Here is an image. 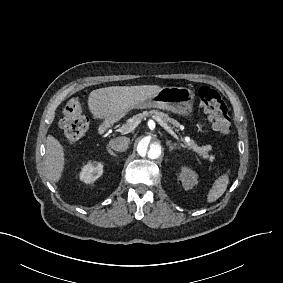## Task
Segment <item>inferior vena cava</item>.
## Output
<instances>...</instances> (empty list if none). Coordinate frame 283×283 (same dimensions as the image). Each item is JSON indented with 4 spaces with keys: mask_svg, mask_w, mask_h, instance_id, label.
I'll use <instances>...</instances> for the list:
<instances>
[{
    "mask_svg": "<svg viewBox=\"0 0 283 283\" xmlns=\"http://www.w3.org/2000/svg\"><path fill=\"white\" fill-rule=\"evenodd\" d=\"M129 142L130 139L127 137H117L111 139L109 145L113 150L123 152L128 148Z\"/></svg>",
    "mask_w": 283,
    "mask_h": 283,
    "instance_id": "602c4592",
    "label": "inferior vena cava"
}]
</instances>
